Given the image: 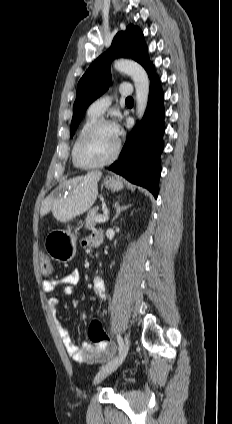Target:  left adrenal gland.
<instances>
[{
    "instance_id": "obj_1",
    "label": "left adrenal gland",
    "mask_w": 232,
    "mask_h": 424,
    "mask_svg": "<svg viewBox=\"0 0 232 424\" xmlns=\"http://www.w3.org/2000/svg\"><path fill=\"white\" fill-rule=\"evenodd\" d=\"M115 209H116V213L112 219V223L115 221V219L118 218V216L120 215L121 212L125 211L126 209H128L129 207H131V204L127 205V206H120L119 202H116L114 205Z\"/></svg>"
}]
</instances>
